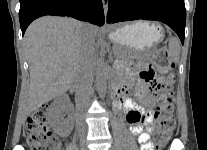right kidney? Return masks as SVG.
Returning a JSON list of instances; mask_svg holds the SVG:
<instances>
[{
    "instance_id": "obj_1",
    "label": "right kidney",
    "mask_w": 207,
    "mask_h": 150,
    "mask_svg": "<svg viewBox=\"0 0 207 150\" xmlns=\"http://www.w3.org/2000/svg\"><path fill=\"white\" fill-rule=\"evenodd\" d=\"M68 104L69 99L66 95H61L52 102L49 108V114L52 124H56L60 120L62 113Z\"/></svg>"
}]
</instances>
